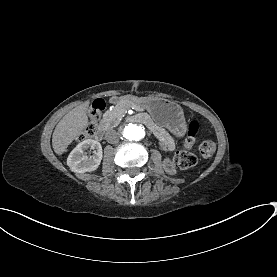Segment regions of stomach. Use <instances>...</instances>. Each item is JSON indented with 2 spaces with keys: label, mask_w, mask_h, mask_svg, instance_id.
Listing matches in <instances>:
<instances>
[{
  "label": "stomach",
  "mask_w": 277,
  "mask_h": 277,
  "mask_svg": "<svg viewBox=\"0 0 277 277\" xmlns=\"http://www.w3.org/2000/svg\"><path fill=\"white\" fill-rule=\"evenodd\" d=\"M139 108L146 109L151 117L160 125L170 129H180L184 123V114L180 105L162 98H133Z\"/></svg>",
  "instance_id": "stomach-1"
}]
</instances>
